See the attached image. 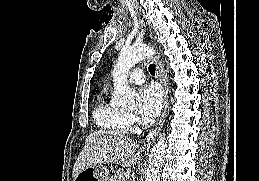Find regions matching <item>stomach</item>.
I'll use <instances>...</instances> for the list:
<instances>
[{
  "instance_id": "1",
  "label": "stomach",
  "mask_w": 259,
  "mask_h": 181,
  "mask_svg": "<svg viewBox=\"0 0 259 181\" xmlns=\"http://www.w3.org/2000/svg\"><path fill=\"white\" fill-rule=\"evenodd\" d=\"M110 172L104 165L93 164L77 174L74 181H109Z\"/></svg>"
}]
</instances>
